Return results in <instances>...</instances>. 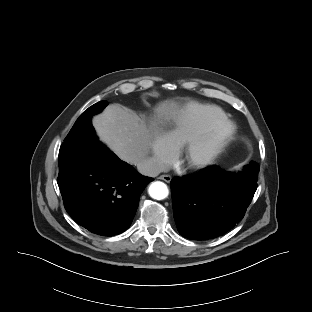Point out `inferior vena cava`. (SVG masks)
I'll return each instance as SVG.
<instances>
[{"label": "inferior vena cava", "mask_w": 312, "mask_h": 312, "mask_svg": "<svg viewBox=\"0 0 312 312\" xmlns=\"http://www.w3.org/2000/svg\"><path fill=\"white\" fill-rule=\"evenodd\" d=\"M137 169L142 175L155 177L166 170V165L157 158H144L137 164Z\"/></svg>", "instance_id": "602c4592"}]
</instances>
